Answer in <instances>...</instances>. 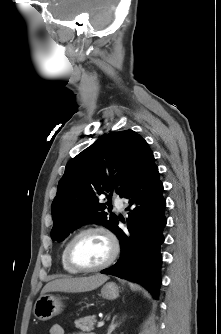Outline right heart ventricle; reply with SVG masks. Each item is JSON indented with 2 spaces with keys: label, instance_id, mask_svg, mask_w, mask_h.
Here are the masks:
<instances>
[{
  "label": "right heart ventricle",
  "instance_id": "obj_1",
  "mask_svg": "<svg viewBox=\"0 0 221 334\" xmlns=\"http://www.w3.org/2000/svg\"><path fill=\"white\" fill-rule=\"evenodd\" d=\"M66 246H67V244H65V246H64V248H63V250L61 252V264H62V267L68 273H72V274L78 273V271H76L73 268H71L68 265L67 261H66V257H65Z\"/></svg>",
  "mask_w": 221,
  "mask_h": 334
}]
</instances>
